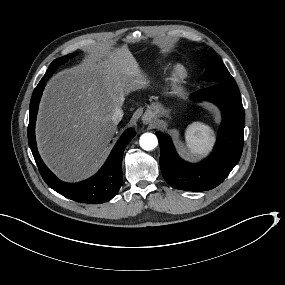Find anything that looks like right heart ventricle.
I'll return each instance as SVG.
<instances>
[{
    "mask_svg": "<svg viewBox=\"0 0 285 285\" xmlns=\"http://www.w3.org/2000/svg\"><path fill=\"white\" fill-rule=\"evenodd\" d=\"M154 71L156 73H159L161 71V68L157 65V66L154 67Z\"/></svg>",
    "mask_w": 285,
    "mask_h": 285,
    "instance_id": "right-heart-ventricle-1",
    "label": "right heart ventricle"
}]
</instances>
